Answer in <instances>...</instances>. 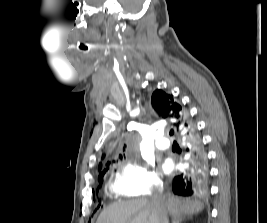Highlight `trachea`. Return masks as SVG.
<instances>
[{"label": "trachea", "instance_id": "obj_1", "mask_svg": "<svg viewBox=\"0 0 267 223\" xmlns=\"http://www.w3.org/2000/svg\"><path fill=\"white\" fill-rule=\"evenodd\" d=\"M169 134H170V136H173L174 131L173 130H170Z\"/></svg>", "mask_w": 267, "mask_h": 223}]
</instances>
